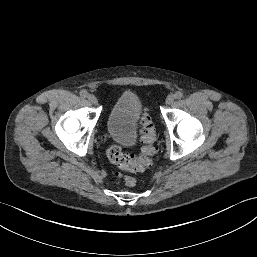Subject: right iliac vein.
<instances>
[{
    "mask_svg": "<svg viewBox=\"0 0 257 257\" xmlns=\"http://www.w3.org/2000/svg\"><path fill=\"white\" fill-rule=\"evenodd\" d=\"M88 100H89L92 104H94V105H96V104L98 103V100H97L96 96L93 95V94H89V95H88Z\"/></svg>",
    "mask_w": 257,
    "mask_h": 257,
    "instance_id": "right-iliac-vein-1",
    "label": "right iliac vein"
}]
</instances>
